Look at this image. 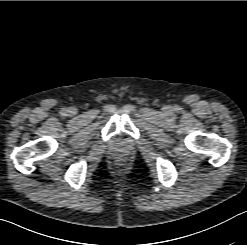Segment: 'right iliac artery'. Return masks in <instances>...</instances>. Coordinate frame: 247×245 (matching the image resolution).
<instances>
[{"label": "right iliac artery", "instance_id": "right-iliac-artery-1", "mask_svg": "<svg viewBox=\"0 0 247 245\" xmlns=\"http://www.w3.org/2000/svg\"><path fill=\"white\" fill-rule=\"evenodd\" d=\"M61 113H62V115H66L67 110L66 109H63Z\"/></svg>", "mask_w": 247, "mask_h": 245}]
</instances>
